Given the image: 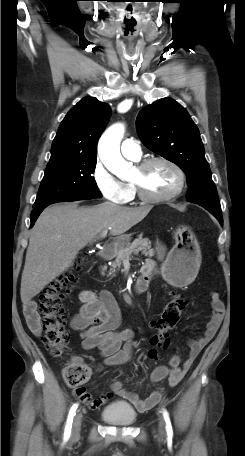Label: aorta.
<instances>
[{
  "label": "aorta",
  "mask_w": 245,
  "mask_h": 456,
  "mask_svg": "<svg viewBox=\"0 0 245 456\" xmlns=\"http://www.w3.org/2000/svg\"><path fill=\"white\" fill-rule=\"evenodd\" d=\"M124 130L123 124H114L102 134L98 143V154L102 163L119 178H124L131 167V163L127 162L120 153Z\"/></svg>",
  "instance_id": "aorta-1"
}]
</instances>
